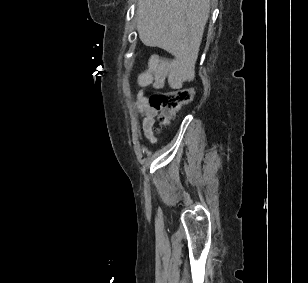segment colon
<instances>
[{
    "label": "colon",
    "mask_w": 308,
    "mask_h": 283,
    "mask_svg": "<svg viewBox=\"0 0 308 283\" xmlns=\"http://www.w3.org/2000/svg\"><path fill=\"white\" fill-rule=\"evenodd\" d=\"M194 96L193 88H181L165 93H155L147 98L149 106L160 113L158 117L159 128L168 124L171 117L181 106L189 103Z\"/></svg>",
    "instance_id": "5ec220e1"
}]
</instances>
